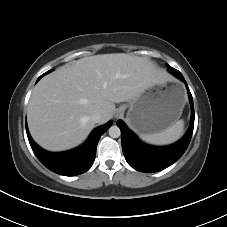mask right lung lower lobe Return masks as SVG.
Segmentation results:
<instances>
[{
	"instance_id": "obj_1",
	"label": "right lung lower lobe",
	"mask_w": 227,
	"mask_h": 227,
	"mask_svg": "<svg viewBox=\"0 0 227 227\" xmlns=\"http://www.w3.org/2000/svg\"><path fill=\"white\" fill-rule=\"evenodd\" d=\"M111 125L112 122L110 121L94 129L89 139L80 147L58 153L48 152L40 148L31 138L27 123L26 132L33 152L45 167L60 175L75 176L86 172L93 165L99 138Z\"/></svg>"
}]
</instances>
